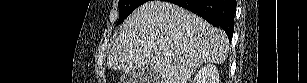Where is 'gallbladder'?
Here are the masks:
<instances>
[{
  "label": "gallbladder",
  "instance_id": "gallbladder-1",
  "mask_svg": "<svg viewBox=\"0 0 307 83\" xmlns=\"http://www.w3.org/2000/svg\"><path fill=\"white\" fill-rule=\"evenodd\" d=\"M159 80V73L151 66L132 70L122 77L124 83H158Z\"/></svg>",
  "mask_w": 307,
  "mask_h": 83
}]
</instances>
